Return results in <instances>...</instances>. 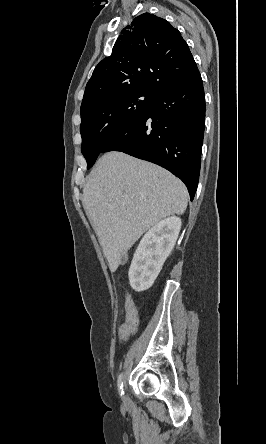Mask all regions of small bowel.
<instances>
[{"instance_id":"c3829d8e","label":"small bowel","mask_w":266,"mask_h":444,"mask_svg":"<svg viewBox=\"0 0 266 444\" xmlns=\"http://www.w3.org/2000/svg\"><path fill=\"white\" fill-rule=\"evenodd\" d=\"M125 321L120 326L118 335L121 340H126L133 335L138 327V313L135 304L129 294L124 297Z\"/></svg>"}]
</instances>
